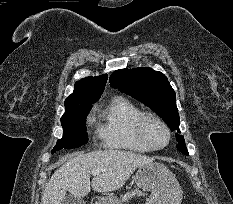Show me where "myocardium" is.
<instances>
[{
    "label": "myocardium",
    "instance_id": "f54148a6",
    "mask_svg": "<svg viewBox=\"0 0 233 204\" xmlns=\"http://www.w3.org/2000/svg\"><path fill=\"white\" fill-rule=\"evenodd\" d=\"M150 120H153V121H156L157 123H159L166 131L167 141L164 145L155 146L149 141V139L146 135L145 127H146V123ZM134 129H135V133H136L138 140L144 146H146L148 149H150L152 151L162 150V149L166 148L171 141V130H170L169 126L161 117H159L155 113H151V112L142 113L138 117V119L135 121Z\"/></svg>",
    "mask_w": 233,
    "mask_h": 204
}]
</instances>
